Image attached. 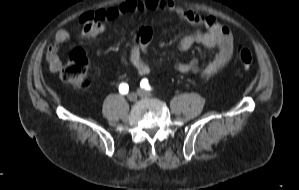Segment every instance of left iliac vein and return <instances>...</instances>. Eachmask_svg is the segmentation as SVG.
<instances>
[{
    "mask_svg": "<svg viewBox=\"0 0 299 190\" xmlns=\"http://www.w3.org/2000/svg\"><path fill=\"white\" fill-rule=\"evenodd\" d=\"M137 93L142 98H152L153 97V95L150 92H148V91H146L144 89H139L137 91Z\"/></svg>",
    "mask_w": 299,
    "mask_h": 190,
    "instance_id": "1",
    "label": "left iliac vein"
}]
</instances>
